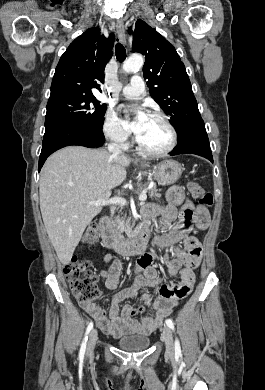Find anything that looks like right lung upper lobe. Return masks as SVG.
Listing matches in <instances>:
<instances>
[{"label":"right lung upper lobe","mask_w":265,"mask_h":390,"mask_svg":"<svg viewBox=\"0 0 265 390\" xmlns=\"http://www.w3.org/2000/svg\"><path fill=\"white\" fill-rule=\"evenodd\" d=\"M114 35L105 38L98 28H91L77 37L61 56L51 84L50 99L67 95H93L101 92L98 81L104 82V69L112 57Z\"/></svg>","instance_id":"1"}]
</instances>
